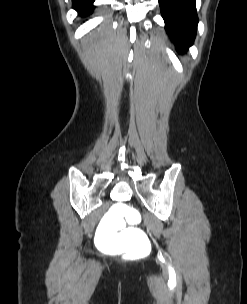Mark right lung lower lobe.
Segmentation results:
<instances>
[{
    "mask_svg": "<svg viewBox=\"0 0 247 304\" xmlns=\"http://www.w3.org/2000/svg\"><path fill=\"white\" fill-rule=\"evenodd\" d=\"M94 0H73V8L76 9L80 15H88L93 10Z\"/></svg>",
    "mask_w": 247,
    "mask_h": 304,
    "instance_id": "obj_1",
    "label": "right lung lower lobe"
}]
</instances>
